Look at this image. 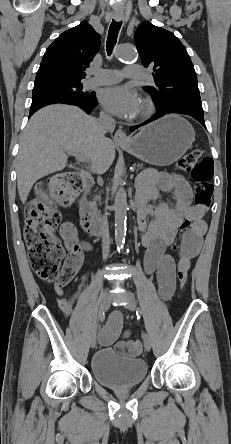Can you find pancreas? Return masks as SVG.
<instances>
[{
	"mask_svg": "<svg viewBox=\"0 0 231 444\" xmlns=\"http://www.w3.org/2000/svg\"><path fill=\"white\" fill-rule=\"evenodd\" d=\"M134 166H135L137 169H139V170H141V169L144 168L142 163L134 164ZM98 198H99V197H98Z\"/></svg>",
	"mask_w": 231,
	"mask_h": 444,
	"instance_id": "1",
	"label": "pancreas"
}]
</instances>
